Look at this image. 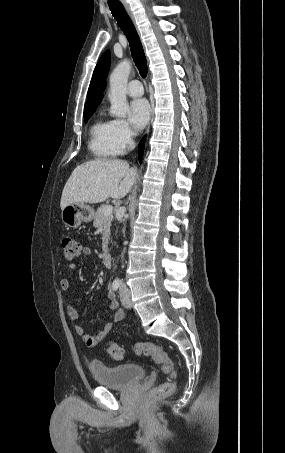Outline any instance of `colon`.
Masks as SVG:
<instances>
[{"instance_id":"colon-1","label":"colon","mask_w":285,"mask_h":453,"mask_svg":"<svg viewBox=\"0 0 285 453\" xmlns=\"http://www.w3.org/2000/svg\"><path fill=\"white\" fill-rule=\"evenodd\" d=\"M62 248L64 256L68 261L74 260L81 252L79 242L73 237H64L62 239ZM133 350L137 355L150 357L160 365L162 371L170 377V380L167 382L153 388L149 392V397L161 399L170 396L175 390L174 379L176 377V369L167 352L162 347L148 341H138L134 343ZM108 351L116 360H121L124 357V349L113 341L109 342Z\"/></svg>"}]
</instances>
